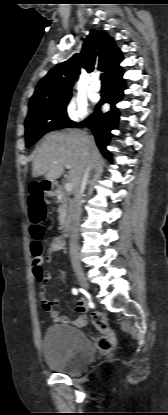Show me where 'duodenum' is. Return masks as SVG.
Masks as SVG:
<instances>
[{"instance_id": "410a0bca", "label": "duodenum", "mask_w": 168, "mask_h": 415, "mask_svg": "<svg viewBox=\"0 0 168 415\" xmlns=\"http://www.w3.org/2000/svg\"><path fill=\"white\" fill-rule=\"evenodd\" d=\"M41 187L43 188V190L47 194H49L51 196L58 197V196L62 195V191H61L59 185L54 181L43 180L41 182ZM58 230H59V233L62 237H67L69 235V230H70L69 221L67 219L62 220L59 223Z\"/></svg>"}]
</instances>
